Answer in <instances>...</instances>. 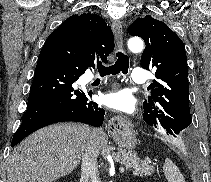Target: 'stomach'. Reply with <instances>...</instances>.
<instances>
[{"label": "stomach", "instance_id": "stomach-1", "mask_svg": "<svg viewBox=\"0 0 211 182\" xmlns=\"http://www.w3.org/2000/svg\"><path fill=\"white\" fill-rule=\"evenodd\" d=\"M111 135L115 143L120 148L132 150L136 146V136L131 129L121 127L119 129L112 130Z\"/></svg>", "mask_w": 211, "mask_h": 182}]
</instances>
